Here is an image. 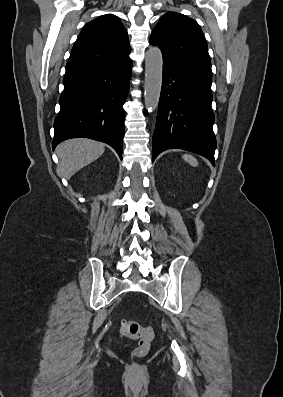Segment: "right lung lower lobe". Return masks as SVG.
<instances>
[{
  "instance_id": "obj_1",
  "label": "right lung lower lobe",
  "mask_w": 283,
  "mask_h": 397,
  "mask_svg": "<svg viewBox=\"0 0 283 397\" xmlns=\"http://www.w3.org/2000/svg\"><path fill=\"white\" fill-rule=\"evenodd\" d=\"M132 61L64 78L60 112L54 121L52 148L70 138L85 137L112 146L122 159L124 101Z\"/></svg>"
}]
</instances>
